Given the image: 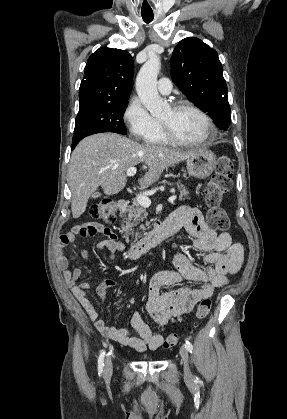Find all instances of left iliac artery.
Returning <instances> with one entry per match:
<instances>
[{
    "instance_id": "left-iliac-artery-1",
    "label": "left iliac artery",
    "mask_w": 287,
    "mask_h": 419,
    "mask_svg": "<svg viewBox=\"0 0 287 419\" xmlns=\"http://www.w3.org/2000/svg\"><path fill=\"white\" fill-rule=\"evenodd\" d=\"M185 347L187 348V350H188L190 353H192L193 346H192V344L190 343V341H186ZM196 379L198 380V378H197V377H196Z\"/></svg>"
}]
</instances>
